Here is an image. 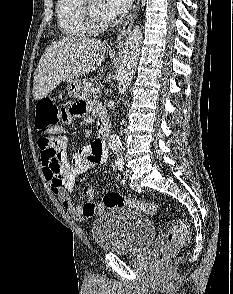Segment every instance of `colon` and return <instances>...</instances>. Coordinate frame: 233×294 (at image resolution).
Segmentation results:
<instances>
[{"instance_id":"1","label":"colon","mask_w":233,"mask_h":294,"mask_svg":"<svg viewBox=\"0 0 233 294\" xmlns=\"http://www.w3.org/2000/svg\"><path fill=\"white\" fill-rule=\"evenodd\" d=\"M71 108V107H69ZM60 108L51 99H41L36 106L35 126L40 132L39 144L49 147L54 142V135L62 128H56L55 120L59 118ZM103 207L113 209L116 207H129L141 211L147 215H156L159 212L158 206L152 202L140 201L126 198L118 193H107L103 197L102 204H87L85 212L87 214H98ZM190 237V227L184 219H176L169 230L164 246L158 253V261L164 262L170 254L177 248L185 245Z\"/></svg>"}]
</instances>
